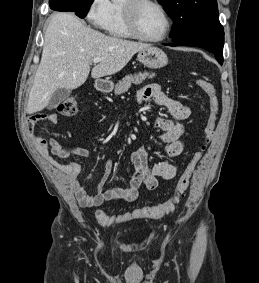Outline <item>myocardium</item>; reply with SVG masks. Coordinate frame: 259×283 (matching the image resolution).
<instances>
[{
    "label": "myocardium",
    "mask_w": 259,
    "mask_h": 283,
    "mask_svg": "<svg viewBox=\"0 0 259 283\" xmlns=\"http://www.w3.org/2000/svg\"><path fill=\"white\" fill-rule=\"evenodd\" d=\"M147 4L156 6L158 9H160V11L163 13L166 19L167 27H166L165 33L159 38L148 37L144 35L140 29L139 20H138L139 11L144 5H147ZM123 8H124V13H125V18H126L128 28L135 37L141 40L147 41V42H161L165 40L170 34L171 29H172V18L169 12L167 11L166 7L159 1L157 0H124Z\"/></svg>",
    "instance_id": "f54148a6"
}]
</instances>
